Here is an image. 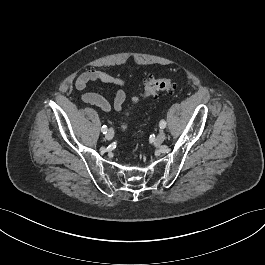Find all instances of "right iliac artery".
<instances>
[{"mask_svg":"<svg viewBox=\"0 0 265 265\" xmlns=\"http://www.w3.org/2000/svg\"><path fill=\"white\" fill-rule=\"evenodd\" d=\"M101 131L103 132V134H106L107 131H108V128L106 125H103L102 128H101Z\"/></svg>","mask_w":265,"mask_h":265,"instance_id":"1","label":"right iliac artery"}]
</instances>
